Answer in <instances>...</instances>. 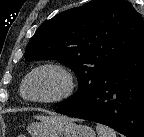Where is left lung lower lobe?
<instances>
[{
  "label": "left lung lower lobe",
  "instance_id": "0a47b994",
  "mask_svg": "<svg viewBox=\"0 0 144 137\" xmlns=\"http://www.w3.org/2000/svg\"><path fill=\"white\" fill-rule=\"evenodd\" d=\"M56 112L107 125L127 137H144V29L85 97Z\"/></svg>",
  "mask_w": 144,
  "mask_h": 137
}]
</instances>
